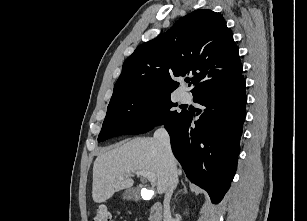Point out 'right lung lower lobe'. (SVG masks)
<instances>
[{
    "mask_svg": "<svg viewBox=\"0 0 307 221\" xmlns=\"http://www.w3.org/2000/svg\"><path fill=\"white\" fill-rule=\"evenodd\" d=\"M202 105L191 127L185 111L165 128L173 154L191 182L205 189L213 203L221 201L237 168L240 138L245 120V81L239 85L193 98Z\"/></svg>",
    "mask_w": 307,
    "mask_h": 221,
    "instance_id": "98d812e1",
    "label": "right lung lower lobe"
}]
</instances>
